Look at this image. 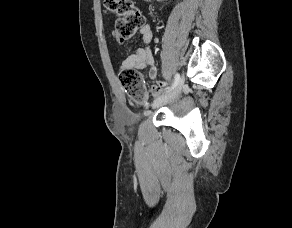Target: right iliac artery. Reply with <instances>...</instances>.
<instances>
[{
	"instance_id": "obj_1",
	"label": "right iliac artery",
	"mask_w": 292,
	"mask_h": 228,
	"mask_svg": "<svg viewBox=\"0 0 292 228\" xmlns=\"http://www.w3.org/2000/svg\"><path fill=\"white\" fill-rule=\"evenodd\" d=\"M179 82H180V75L176 74L173 85L170 88H168V90L166 92H169L172 89H174L179 84Z\"/></svg>"
}]
</instances>
